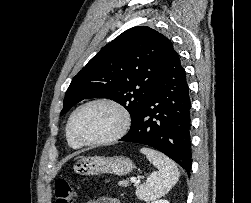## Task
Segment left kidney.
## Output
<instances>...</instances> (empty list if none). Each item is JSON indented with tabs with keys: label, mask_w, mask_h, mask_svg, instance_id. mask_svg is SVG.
<instances>
[{
	"label": "left kidney",
	"mask_w": 251,
	"mask_h": 203,
	"mask_svg": "<svg viewBox=\"0 0 251 203\" xmlns=\"http://www.w3.org/2000/svg\"><path fill=\"white\" fill-rule=\"evenodd\" d=\"M152 203H169V202L167 200L160 199V200L154 201Z\"/></svg>",
	"instance_id": "5707ae66"
}]
</instances>
